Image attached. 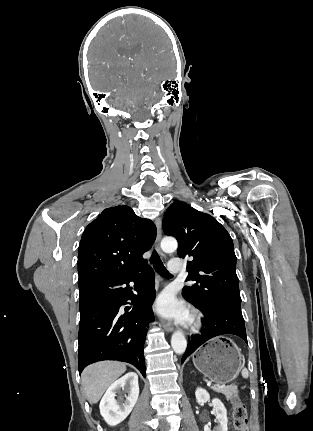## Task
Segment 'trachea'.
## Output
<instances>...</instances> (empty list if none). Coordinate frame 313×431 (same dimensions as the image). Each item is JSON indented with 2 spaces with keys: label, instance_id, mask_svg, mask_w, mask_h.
I'll use <instances>...</instances> for the list:
<instances>
[{
  "label": "trachea",
  "instance_id": "1",
  "mask_svg": "<svg viewBox=\"0 0 313 431\" xmlns=\"http://www.w3.org/2000/svg\"><path fill=\"white\" fill-rule=\"evenodd\" d=\"M150 262L153 264L154 269L156 270V272L159 275H161L162 277H165V278L171 277V274L167 271V269L163 265L159 255H158V253L155 250L152 252Z\"/></svg>",
  "mask_w": 313,
  "mask_h": 431
}]
</instances>
